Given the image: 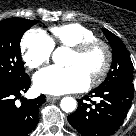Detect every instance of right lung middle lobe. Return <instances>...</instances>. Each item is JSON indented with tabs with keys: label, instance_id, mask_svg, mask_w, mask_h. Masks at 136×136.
Instances as JSON below:
<instances>
[{
	"label": "right lung middle lobe",
	"instance_id": "dd1d6c3e",
	"mask_svg": "<svg viewBox=\"0 0 136 136\" xmlns=\"http://www.w3.org/2000/svg\"><path fill=\"white\" fill-rule=\"evenodd\" d=\"M35 23L22 18L0 22V88H11L29 77L21 58L20 40Z\"/></svg>",
	"mask_w": 136,
	"mask_h": 136
}]
</instances>
